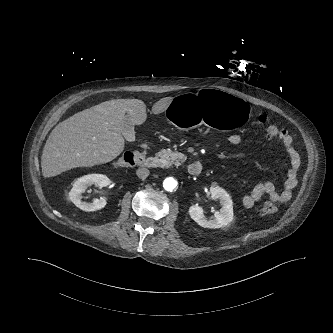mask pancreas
<instances>
[{"label": "pancreas", "instance_id": "obj_1", "mask_svg": "<svg viewBox=\"0 0 333 333\" xmlns=\"http://www.w3.org/2000/svg\"><path fill=\"white\" fill-rule=\"evenodd\" d=\"M157 156L160 157L165 166H171L173 164L179 166L186 160V156L184 154L174 152L171 149H163L157 153Z\"/></svg>", "mask_w": 333, "mask_h": 333}]
</instances>
